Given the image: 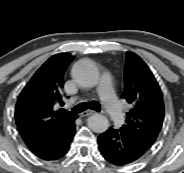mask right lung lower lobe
Segmentation results:
<instances>
[{
	"label": "right lung lower lobe",
	"instance_id": "1",
	"mask_svg": "<svg viewBox=\"0 0 184 173\" xmlns=\"http://www.w3.org/2000/svg\"><path fill=\"white\" fill-rule=\"evenodd\" d=\"M74 134L75 123L72 122L26 142V145L32 153L43 160H57L68 152Z\"/></svg>",
	"mask_w": 184,
	"mask_h": 173
}]
</instances>
